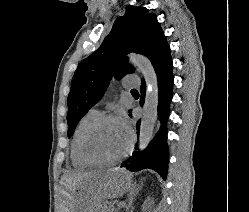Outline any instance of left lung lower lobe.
<instances>
[{"label":"left lung lower lobe","instance_id":"obj_1","mask_svg":"<svg viewBox=\"0 0 249 212\" xmlns=\"http://www.w3.org/2000/svg\"><path fill=\"white\" fill-rule=\"evenodd\" d=\"M152 63L158 79V118L161 126L148 147L142 153L136 152L133 157L122 163L121 167H126L134 172L146 168L153 169L165 180L169 161L166 123L173 94L172 59L168 45L161 50ZM140 92V105L143 106L146 92V84L143 79ZM139 127L140 120L136 123L137 133H139Z\"/></svg>","mask_w":249,"mask_h":212}]
</instances>
